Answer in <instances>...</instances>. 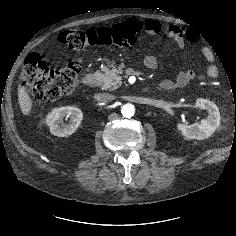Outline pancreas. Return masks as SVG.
<instances>
[{
	"label": "pancreas",
	"mask_w": 236,
	"mask_h": 236,
	"mask_svg": "<svg viewBox=\"0 0 236 236\" xmlns=\"http://www.w3.org/2000/svg\"><path fill=\"white\" fill-rule=\"evenodd\" d=\"M123 72V66L118 68L108 69L104 68L98 75V83L102 89L115 90L122 84L119 74Z\"/></svg>",
	"instance_id": "obj_1"
}]
</instances>
